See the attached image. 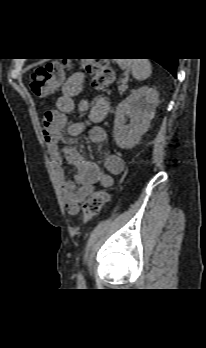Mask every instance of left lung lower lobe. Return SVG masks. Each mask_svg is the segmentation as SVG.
I'll return each mask as SVG.
<instances>
[{
	"label": "left lung lower lobe",
	"mask_w": 206,
	"mask_h": 348,
	"mask_svg": "<svg viewBox=\"0 0 206 348\" xmlns=\"http://www.w3.org/2000/svg\"><path fill=\"white\" fill-rule=\"evenodd\" d=\"M154 60L166 68L174 77H176V68L178 64L177 58H161Z\"/></svg>",
	"instance_id": "0a47b994"
}]
</instances>
